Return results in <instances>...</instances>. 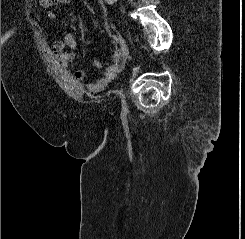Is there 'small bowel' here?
Here are the masks:
<instances>
[{
    "instance_id": "small-bowel-1",
    "label": "small bowel",
    "mask_w": 245,
    "mask_h": 239,
    "mask_svg": "<svg viewBox=\"0 0 245 239\" xmlns=\"http://www.w3.org/2000/svg\"><path fill=\"white\" fill-rule=\"evenodd\" d=\"M71 0H40V5L44 9H48V16L50 18L55 17V12L52 8L55 5L59 4H69ZM67 45L72 51H65L64 46ZM78 48V41L73 33H68L65 36L64 41L55 40L53 43V51L58 59L60 66L63 69H69L72 63L76 59V52L75 50ZM120 53L115 51L112 55V63L108 65L102 75L95 81H92L86 85V88L89 92L98 93L103 91L120 73ZM91 66L95 69H101L102 63L100 60L93 58L91 60ZM72 78L76 83H81L85 79V73L82 70H75L72 74Z\"/></svg>"
}]
</instances>
